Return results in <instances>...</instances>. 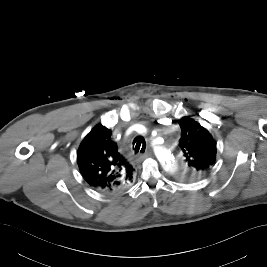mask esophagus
<instances>
[{
	"label": "esophagus",
	"mask_w": 267,
	"mask_h": 267,
	"mask_svg": "<svg viewBox=\"0 0 267 267\" xmlns=\"http://www.w3.org/2000/svg\"><path fill=\"white\" fill-rule=\"evenodd\" d=\"M148 157V154L144 153L139 156L140 159H145Z\"/></svg>",
	"instance_id": "obj_1"
}]
</instances>
